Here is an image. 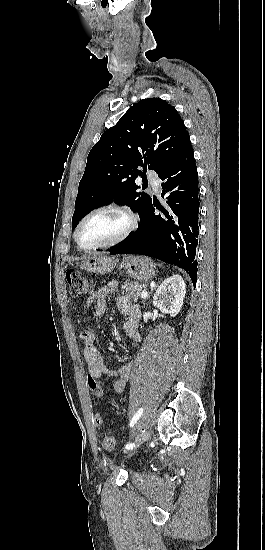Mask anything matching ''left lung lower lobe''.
Listing matches in <instances>:
<instances>
[{
	"instance_id": "obj_1",
	"label": "left lung lower lobe",
	"mask_w": 265,
	"mask_h": 550,
	"mask_svg": "<svg viewBox=\"0 0 265 550\" xmlns=\"http://www.w3.org/2000/svg\"><path fill=\"white\" fill-rule=\"evenodd\" d=\"M162 194H167V209L150 205L138 230L111 254H142L183 268L193 285L197 278L199 189L197 166L189 142L159 175ZM155 207L163 216L155 215Z\"/></svg>"
}]
</instances>
